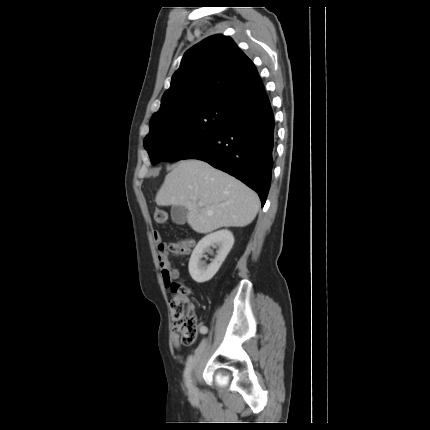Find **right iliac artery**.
Returning a JSON list of instances; mask_svg holds the SVG:
<instances>
[{
    "instance_id": "1",
    "label": "right iliac artery",
    "mask_w": 430,
    "mask_h": 430,
    "mask_svg": "<svg viewBox=\"0 0 430 430\" xmlns=\"http://www.w3.org/2000/svg\"><path fill=\"white\" fill-rule=\"evenodd\" d=\"M201 335H206V330H201ZM192 360L193 357L192 355L188 358L187 364H186V368L184 371V378H185V384L188 388H190L191 386V379H190V370H191V366H192Z\"/></svg>"
}]
</instances>
